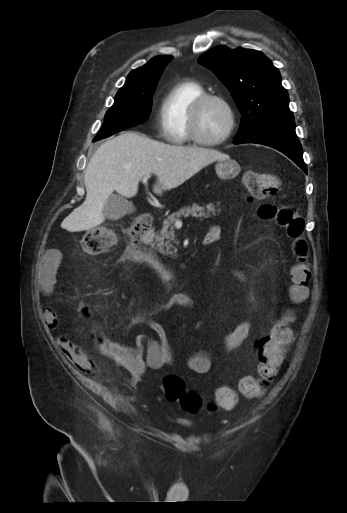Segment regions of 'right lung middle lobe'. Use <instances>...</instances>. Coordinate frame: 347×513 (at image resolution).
<instances>
[{
  "label": "right lung middle lobe",
  "mask_w": 347,
  "mask_h": 513,
  "mask_svg": "<svg viewBox=\"0 0 347 513\" xmlns=\"http://www.w3.org/2000/svg\"><path fill=\"white\" fill-rule=\"evenodd\" d=\"M156 86L157 82H154L137 89H120L94 142L145 122L151 111Z\"/></svg>",
  "instance_id": "right-lung-middle-lobe-1"
}]
</instances>
